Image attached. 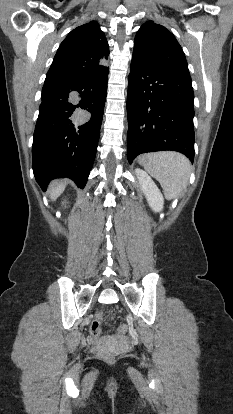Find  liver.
<instances>
[{"mask_svg": "<svg viewBox=\"0 0 233 414\" xmlns=\"http://www.w3.org/2000/svg\"><path fill=\"white\" fill-rule=\"evenodd\" d=\"M64 186L65 183L63 181L53 182L50 186V198L52 200L57 198L61 194Z\"/></svg>", "mask_w": 233, "mask_h": 414, "instance_id": "6515ba94", "label": "liver"}]
</instances>
